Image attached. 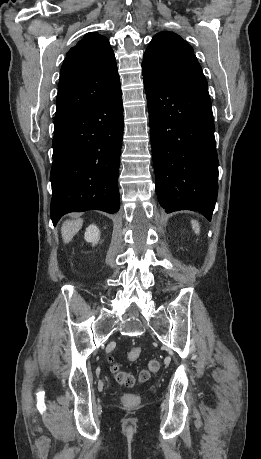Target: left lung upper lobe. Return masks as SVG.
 I'll return each instance as SVG.
<instances>
[{
	"mask_svg": "<svg viewBox=\"0 0 261 459\" xmlns=\"http://www.w3.org/2000/svg\"><path fill=\"white\" fill-rule=\"evenodd\" d=\"M143 70L181 84L207 85L193 48L173 32L156 34L145 51Z\"/></svg>",
	"mask_w": 261,
	"mask_h": 459,
	"instance_id": "left-lung-upper-lobe-1",
	"label": "left lung upper lobe"
}]
</instances>
